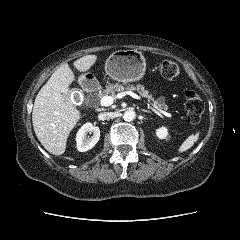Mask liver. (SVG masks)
<instances>
[{
  "label": "liver",
  "instance_id": "1",
  "mask_svg": "<svg viewBox=\"0 0 240 240\" xmlns=\"http://www.w3.org/2000/svg\"><path fill=\"white\" fill-rule=\"evenodd\" d=\"M96 55L74 61V67L86 72L96 63ZM75 75L67 63L62 64L38 92L32 112L35 134L43 147L53 155L66 150L68 136L81 118L80 111L65 101Z\"/></svg>",
  "mask_w": 240,
  "mask_h": 240
}]
</instances>
